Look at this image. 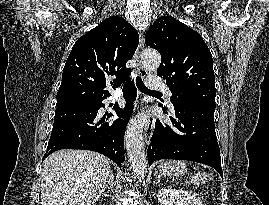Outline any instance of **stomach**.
<instances>
[{
    "mask_svg": "<svg viewBox=\"0 0 269 205\" xmlns=\"http://www.w3.org/2000/svg\"><path fill=\"white\" fill-rule=\"evenodd\" d=\"M159 172L168 177H179L187 171L186 164L181 161L164 162L158 166Z\"/></svg>",
    "mask_w": 269,
    "mask_h": 205,
    "instance_id": "0dacf381",
    "label": "stomach"
}]
</instances>
